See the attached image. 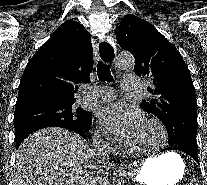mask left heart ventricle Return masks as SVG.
Returning <instances> with one entry per match:
<instances>
[{
	"mask_svg": "<svg viewBox=\"0 0 207 185\" xmlns=\"http://www.w3.org/2000/svg\"><path fill=\"white\" fill-rule=\"evenodd\" d=\"M127 140L132 148L142 151L152 150L153 146L164 141L157 127L145 120Z\"/></svg>",
	"mask_w": 207,
	"mask_h": 185,
	"instance_id": "b2bd125f",
	"label": "left heart ventricle"
}]
</instances>
